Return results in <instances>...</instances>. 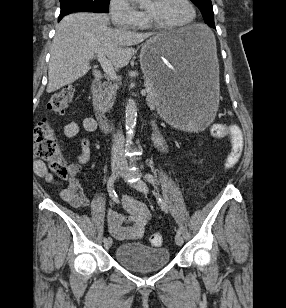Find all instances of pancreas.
<instances>
[{
    "label": "pancreas",
    "instance_id": "pancreas-1",
    "mask_svg": "<svg viewBox=\"0 0 286 308\" xmlns=\"http://www.w3.org/2000/svg\"><path fill=\"white\" fill-rule=\"evenodd\" d=\"M146 90H147V103L151 108L158 106V101L156 99V93L153 87L146 81ZM118 89L117 85H109L103 91H101L94 98V107L100 112L104 113L108 111L114 103V96L116 95V90Z\"/></svg>",
    "mask_w": 286,
    "mask_h": 308
}]
</instances>
